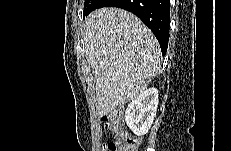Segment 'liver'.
Segmentation results:
<instances>
[{"label": "liver", "mask_w": 231, "mask_h": 151, "mask_svg": "<svg viewBox=\"0 0 231 151\" xmlns=\"http://www.w3.org/2000/svg\"><path fill=\"white\" fill-rule=\"evenodd\" d=\"M83 41L95 77L99 115L134 100L160 71L157 39L125 10L104 7L91 12L85 20Z\"/></svg>", "instance_id": "1"}]
</instances>
